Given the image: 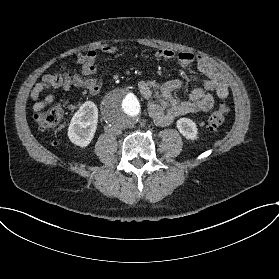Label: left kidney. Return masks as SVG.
I'll return each instance as SVG.
<instances>
[{
    "instance_id": "left-kidney-1",
    "label": "left kidney",
    "mask_w": 279,
    "mask_h": 279,
    "mask_svg": "<svg viewBox=\"0 0 279 279\" xmlns=\"http://www.w3.org/2000/svg\"><path fill=\"white\" fill-rule=\"evenodd\" d=\"M176 127L186 139L196 140L198 138V129L193 120L189 118H180L176 122Z\"/></svg>"
}]
</instances>
